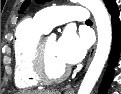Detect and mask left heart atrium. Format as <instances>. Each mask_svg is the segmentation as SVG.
Masks as SVG:
<instances>
[{
    "mask_svg": "<svg viewBox=\"0 0 121 94\" xmlns=\"http://www.w3.org/2000/svg\"><path fill=\"white\" fill-rule=\"evenodd\" d=\"M57 51L67 65H73L85 56L86 43L76 33L67 30L57 42Z\"/></svg>",
    "mask_w": 121,
    "mask_h": 94,
    "instance_id": "1",
    "label": "left heart atrium"
}]
</instances>
